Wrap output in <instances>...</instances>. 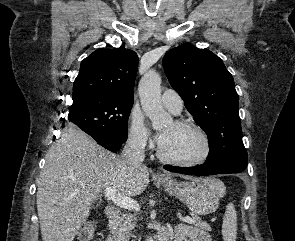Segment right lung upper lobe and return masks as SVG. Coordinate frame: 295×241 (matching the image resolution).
Returning a JSON list of instances; mask_svg holds the SVG:
<instances>
[{"instance_id":"right-lung-upper-lobe-1","label":"right lung upper lobe","mask_w":295,"mask_h":241,"mask_svg":"<svg viewBox=\"0 0 295 241\" xmlns=\"http://www.w3.org/2000/svg\"><path fill=\"white\" fill-rule=\"evenodd\" d=\"M137 54L129 49H98L81 62L73 85V102L89 98L133 101Z\"/></svg>"}]
</instances>
